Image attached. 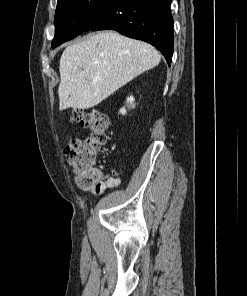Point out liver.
Masks as SVG:
<instances>
[{
    "mask_svg": "<svg viewBox=\"0 0 247 296\" xmlns=\"http://www.w3.org/2000/svg\"><path fill=\"white\" fill-rule=\"evenodd\" d=\"M160 61L159 52L143 41L115 31L90 35L60 58L59 110L92 108Z\"/></svg>",
    "mask_w": 247,
    "mask_h": 296,
    "instance_id": "liver-1",
    "label": "liver"
}]
</instances>
